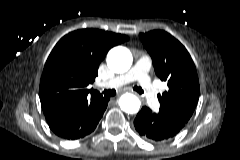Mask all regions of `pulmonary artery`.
Returning a JSON list of instances; mask_svg holds the SVG:
<instances>
[{"label": "pulmonary artery", "mask_w": 240, "mask_h": 160, "mask_svg": "<svg viewBox=\"0 0 240 160\" xmlns=\"http://www.w3.org/2000/svg\"><path fill=\"white\" fill-rule=\"evenodd\" d=\"M151 65L152 62L150 57L143 55L136 60L133 67L128 72L110 80L107 83V86L118 87L132 81H137L144 91L146 100L149 105L152 108L156 109L159 106L156 89L148 75Z\"/></svg>", "instance_id": "pulmonary-artery-1"}]
</instances>
